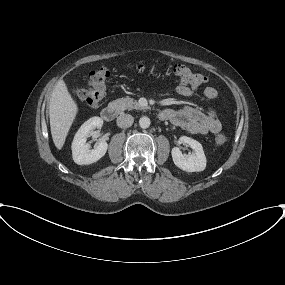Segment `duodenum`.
Listing matches in <instances>:
<instances>
[{
    "instance_id": "410a0bca",
    "label": "duodenum",
    "mask_w": 285,
    "mask_h": 285,
    "mask_svg": "<svg viewBox=\"0 0 285 285\" xmlns=\"http://www.w3.org/2000/svg\"><path fill=\"white\" fill-rule=\"evenodd\" d=\"M119 114V107L114 104H108L105 106L101 111V116L105 121H112L114 120ZM160 118L163 117V112L159 114Z\"/></svg>"
}]
</instances>
